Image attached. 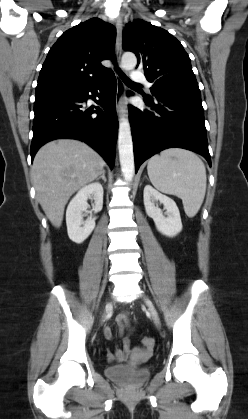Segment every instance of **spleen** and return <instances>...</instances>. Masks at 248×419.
<instances>
[{
    "label": "spleen",
    "mask_w": 248,
    "mask_h": 419,
    "mask_svg": "<svg viewBox=\"0 0 248 419\" xmlns=\"http://www.w3.org/2000/svg\"><path fill=\"white\" fill-rule=\"evenodd\" d=\"M147 171L158 190L182 199L188 217L197 214L206 193V168L194 152L181 148L166 149L150 158Z\"/></svg>",
    "instance_id": "3e777b00"
}]
</instances>
